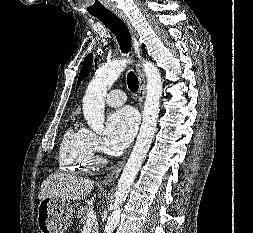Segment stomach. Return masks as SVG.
Instances as JSON below:
<instances>
[{
    "mask_svg": "<svg viewBox=\"0 0 253 233\" xmlns=\"http://www.w3.org/2000/svg\"><path fill=\"white\" fill-rule=\"evenodd\" d=\"M73 206L69 200L46 197L38 207L40 233H64L70 225Z\"/></svg>",
    "mask_w": 253,
    "mask_h": 233,
    "instance_id": "1",
    "label": "stomach"
}]
</instances>
